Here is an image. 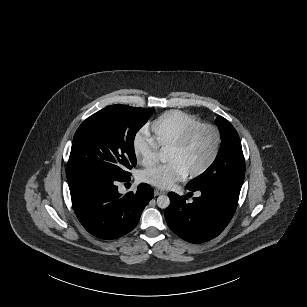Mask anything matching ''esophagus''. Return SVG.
<instances>
[{
  "label": "esophagus",
  "mask_w": 307,
  "mask_h": 307,
  "mask_svg": "<svg viewBox=\"0 0 307 307\" xmlns=\"http://www.w3.org/2000/svg\"><path fill=\"white\" fill-rule=\"evenodd\" d=\"M162 194H165V192L162 191V190H159V189H155V190H154V195H155V196H159V195H162Z\"/></svg>",
  "instance_id": "34e87169"
}]
</instances>
